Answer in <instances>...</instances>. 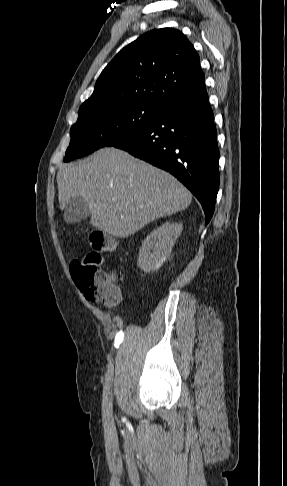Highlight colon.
Wrapping results in <instances>:
<instances>
[{
    "mask_svg": "<svg viewBox=\"0 0 287 486\" xmlns=\"http://www.w3.org/2000/svg\"><path fill=\"white\" fill-rule=\"evenodd\" d=\"M90 245L93 249L91 253L72 262V279L88 300L115 306L121 301V291L112 275L103 270L101 252L114 250L116 241L101 230H93Z\"/></svg>",
    "mask_w": 287,
    "mask_h": 486,
    "instance_id": "colon-1",
    "label": "colon"
}]
</instances>
